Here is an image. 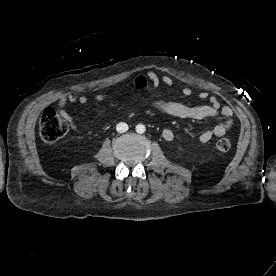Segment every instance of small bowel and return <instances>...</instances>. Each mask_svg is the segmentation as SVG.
Masks as SVG:
<instances>
[{"label": "small bowel", "instance_id": "obj_1", "mask_svg": "<svg viewBox=\"0 0 276 276\" xmlns=\"http://www.w3.org/2000/svg\"><path fill=\"white\" fill-rule=\"evenodd\" d=\"M134 83L138 88L141 89L147 88L150 85L157 87L160 84L171 87L173 85V80L169 76H159L154 72H147L137 75ZM181 93L184 97H188L192 94V90L188 87H185L182 89ZM104 98L105 95L103 94H98L95 97L96 101L98 102L103 101ZM198 98L201 100L208 99L209 104L189 106L180 102L158 100L154 102L153 108L172 117L191 120H201L209 117H215L221 114L224 120L212 129L203 131L199 136V140L202 143H207L213 137L224 136L233 126V110L228 106H221L217 98L210 96L207 92L199 93ZM87 101L88 99L86 96H78L75 93L63 95L59 98L58 111L74 130L77 129V126L72 116L65 110V107L68 103L85 104ZM162 137L166 141H171L174 139V133L171 129H164L162 131Z\"/></svg>", "mask_w": 276, "mask_h": 276}]
</instances>
